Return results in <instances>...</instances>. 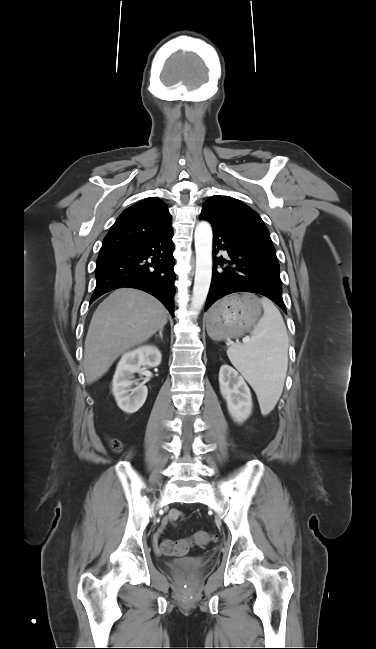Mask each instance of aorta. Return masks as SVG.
Wrapping results in <instances>:
<instances>
[{
    "label": "aorta",
    "mask_w": 376,
    "mask_h": 649,
    "mask_svg": "<svg viewBox=\"0 0 376 649\" xmlns=\"http://www.w3.org/2000/svg\"><path fill=\"white\" fill-rule=\"evenodd\" d=\"M196 272L191 309L200 311L206 301L212 277V228L206 221L198 223L195 233Z\"/></svg>",
    "instance_id": "obj_1"
}]
</instances>
